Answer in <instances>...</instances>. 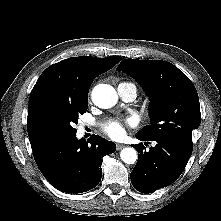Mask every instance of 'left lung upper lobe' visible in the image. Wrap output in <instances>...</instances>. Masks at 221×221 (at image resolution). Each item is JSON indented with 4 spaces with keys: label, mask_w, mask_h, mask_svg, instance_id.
Here are the masks:
<instances>
[{
    "label": "left lung upper lobe",
    "mask_w": 221,
    "mask_h": 221,
    "mask_svg": "<svg viewBox=\"0 0 221 221\" xmlns=\"http://www.w3.org/2000/svg\"><path fill=\"white\" fill-rule=\"evenodd\" d=\"M135 78L150 98V124L137 135L174 140L193 148L192 131L201 122L197 91L190 79L167 61L125 59L117 67Z\"/></svg>",
    "instance_id": "left-lung-upper-lobe-1"
}]
</instances>
